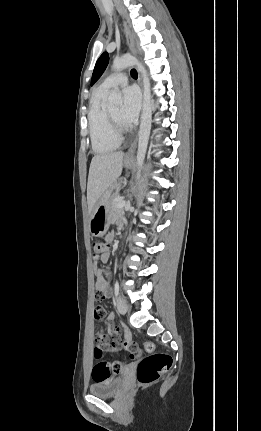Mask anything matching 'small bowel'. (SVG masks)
I'll return each instance as SVG.
<instances>
[{
	"mask_svg": "<svg viewBox=\"0 0 261 431\" xmlns=\"http://www.w3.org/2000/svg\"><path fill=\"white\" fill-rule=\"evenodd\" d=\"M113 239H114L113 233H108L106 235L107 242H112ZM109 257H110L109 253H107L106 255L102 256L98 260L106 263L109 260ZM93 271L96 277L95 295H94V300L96 304L94 305L93 315L95 320L94 327L97 330V334H95L94 339H95V342L100 347H103V348L109 347L113 350H118L121 348L122 343L119 337L118 329L113 327L112 325V321L114 320L115 315L111 313L109 314L108 318L106 317L108 310L107 308H105V303L107 298H109L112 295L110 279L107 275H105L103 270L97 266L94 267ZM105 328H107V331L111 336L110 343H107L106 341V338L104 335ZM123 345L131 356H134L137 353V351L140 349V346L137 343L131 342L129 333H126ZM112 374H118V373H112Z\"/></svg>",
	"mask_w": 261,
	"mask_h": 431,
	"instance_id": "small-bowel-1",
	"label": "small bowel"
}]
</instances>
